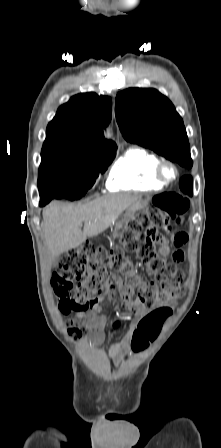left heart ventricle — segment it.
Instances as JSON below:
<instances>
[{"label": "left heart ventricle", "instance_id": "b2bd125f", "mask_svg": "<svg viewBox=\"0 0 221 448\" xmlns=\"http://www.w3.org/2000/svg\"><path fill=\"white\" fill-rule=\"evenodd\" d=\"M173 171H172V169L171 168H169V167H167L166 169H165V176L168 178V179H170V178H172L173 177Z\"/></svg>", "mask_w": 221, "mask_h": 448}]
</instances>
